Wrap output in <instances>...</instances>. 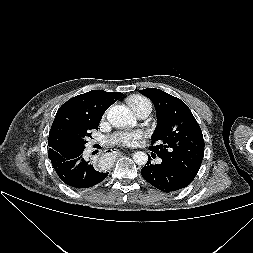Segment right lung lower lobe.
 I'll return each instance as SVG.
<instances>
[{
    "instance_id": "obj_1",
    "label": "right lung lower lobe",
    "mask_w": 253,
    "mask_h": 253,
    "mask_svg": "<svg viewBox=\"0 0 253 253\" xmlns=\"http://www.w3.org/2000/svg\"><path fill=\"white\" fill-rule=\"evenodd\" d=\"M84 149H72L65 154L48 155L59 178L68 186L81 189L102 182L108 173L100 172L90 161L83 158Z\"/></svg>"
}]
</instances>
